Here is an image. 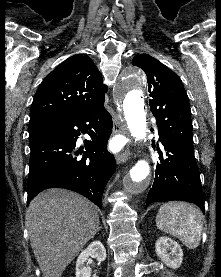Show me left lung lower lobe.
I'll return each instance as SVG.
<instances>
[{
	"label": "left lung lower lobe",
	"instance_id": "1",
	"mask_svg": "<svg viewBox=\"0 0 221 277\" xmlns=\"http://www.w3.org/2000/svg\"><path fill=\"white\" fill-rule=\"evenodd\" d=\"M158 133L163 151L157 145L159 160L146 206L152 202L183 200L197 204L204 212V196L194 151L166 134Z\"/></svg>",
	"mask_w": 221,
	"mask_h": 277
}]
</instances>
